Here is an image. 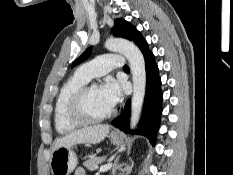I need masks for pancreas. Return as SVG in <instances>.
Wrapping results in <instances>:
<instances>
[{"label":"pancreas","instance_id":"pancreas-1","mask_svg":"<svg viewBox=\"0 0 233 175\" xmlns=\"http://www.w3.org/2000/svg\"><path fill=\"white\" fill-rule=\"evenodd\" d=\"M105 160V156L103 157H92L89 160H86L83 165L88 169V170H96L98 168V164L102 163Z\"/></svg>","mask_w":233,"mask_h":175}]
</instances>
